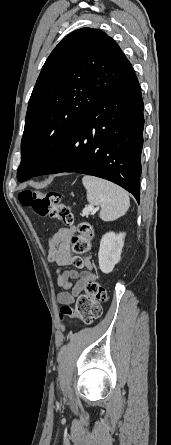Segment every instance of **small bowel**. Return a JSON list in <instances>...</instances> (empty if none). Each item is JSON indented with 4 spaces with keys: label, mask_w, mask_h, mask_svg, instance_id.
Segmentation results:
<instances>
[{
    "label": "small bowel",
    "mask_w": 171,
    "mask_h": 445,
    "mask_svg": "<svg viewBox=\"0 0 171 445\" xmlns=\"http://www.w3.org/2000/svg\"><path fill=\"white\" fill-rule=\"evenodd\" d=\"M74 234V229L64 227L58 229L48 238V263H57L65 265L72 257L69 252V244ZM86 270H57L56 283L63 291L58 293L57 300L63 305H71L75 299L84 290L86 284L95 280V275L90 271L92 267L91 261L86 258L84 260Z\"/></svg>",
    "instance_id": "1"
}]
</instances>
